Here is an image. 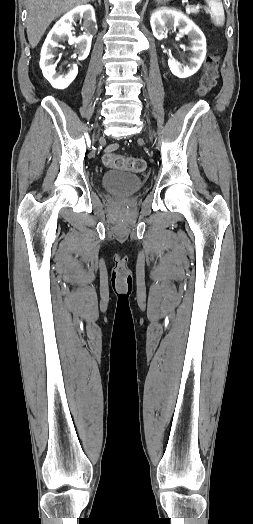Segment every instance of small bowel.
<instances>
[{
  "mask_svg": "<svg viewBox=\"0 0 253 524\" xmlns=\"http://www.w3.org/2000/svg\"><path fill=\"white\" fill-rule=\"evenodd\" d=\"M116 148H117V145H116V144H111V145H109V146L106 148V151H107V152H112V151H114Z\"/></svg>",
  "mask_w": 253,
  "mask_h": 524,
  "instance_id": "1",
  "label": "small bowel"
}]
</instances>
